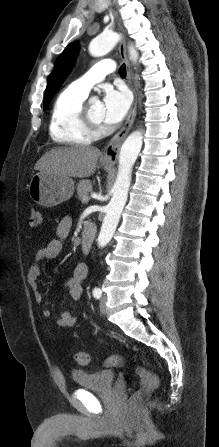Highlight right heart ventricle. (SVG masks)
Returning <instances> with one entry per match:
<instances>
[{"label": "right heart ventricle", "mask_w": 219, "mask_h": 447, "mask_svg": "<svg viewBox=\"0 0 219 447\" xmlns=\"http://www.w3.org/2000/svg\"><path fill=\"white\" fill-rule=\"evenodd\" d=\"M86 96L70 86L56 97L50 116L49 132L56 143L68 145L89 144L96 133L83 126L80 110Z\"/></svg>", "instance_id": "e07e8e85"}]
</instances>
